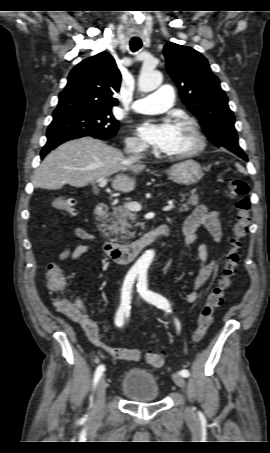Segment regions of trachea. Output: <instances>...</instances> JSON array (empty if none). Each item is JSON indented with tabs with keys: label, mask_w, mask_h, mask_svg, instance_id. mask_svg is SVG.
I'll return each mask as SVG.
<instances>
[{
	"label": "trachea",
	"mask_w": 270,
	"mask_h": 453,
	"mask_svg": "<svg viewBox=\"0 0 270 453\" xmlns=\"http://www.w3.org/2000/svg\"><path fill=\"white\" fill-rule=\"evenodd\" d=\"M142 47L141 40H131L130 41V49L132 52L138 51Z\"/></svg>",
	"instance_id": "trachea-1"
}]
</instances>
